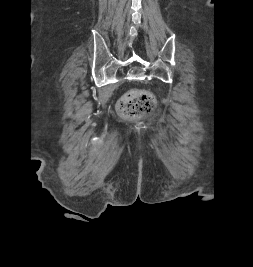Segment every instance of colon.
I'll return each instance as SVG.
<instances>
[{"mask_svg": "<svg viewBox=\"0 0 253 267\" xmlns=\"http://www.w3.org/2000/svg\"><path fill=\"white\" fill-rule=\"evenodd\" d=\"M156 106L153 94L147 90L134 89L118 102V111L124 118H138L152 112Z\"/></svg>", "mask_w": 253, "mask_h": 267, "instance_id": "5ec220e1", "label": "colon"}]
</instances>
